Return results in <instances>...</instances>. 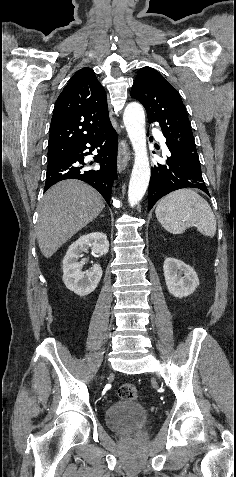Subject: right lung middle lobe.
Returning <instances> with one entry per match:
<instances>
[{
    "label": "right lung middle lobe",
    "mask_w": 236,
    "mask_h": 477,
    "mask_svg": "<svg viewBox=\"0 0 236 477\" xmlns=\"http://www.w3.org/2000/svg\"><path fill=\"white\" fill-rule=\"evenodd\" d=\"M48 158H49V161H48L49 163L56 162V161L62 159V157H60V156H52V157H48Z\"/></svg>",
    "instance_id": "dd1d6c3e"
}]
</instances>
